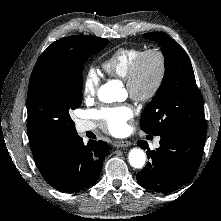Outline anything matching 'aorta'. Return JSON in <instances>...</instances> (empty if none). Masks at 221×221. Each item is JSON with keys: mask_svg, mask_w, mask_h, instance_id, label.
Instances as JSON below:
<instances>
[{"mask_svg": "<svg viewBox=\"0 0 221 221\" xmlns=\"http://www.w3.org/2000/svg\"><path fill=\"white\" fill-rule=\"evenodd\" d=\"M120 85L117 81H110L102 85L98 91V98L105 103H112L120 96ZM128 160L133 168L140 169L145 165L146 154L140 148H132L128 154Z\"/></svg>", "mask_w": 221, "mask_h": 221, "instance_id": "aorta-1", "label": "aorta"}]
</instances>
